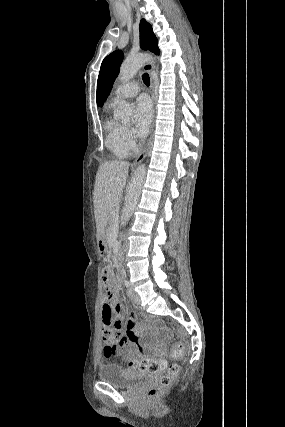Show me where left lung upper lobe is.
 Here are the masks:
<instances>
[{"instance_id":"1","label":"left lung upper lobe","mask_w":285,"mask_h":427,"mask_svg":"<svg viewBox=\"0 0 285 427\" xmlns=\"http://www.w3.org/2000/svg\"><path fill=\"white\" fill-rule=\"evenodd\" d=\"M140 45L142 49L159 54L157 38L151 25L145 19L140 21ZM122 60L123 52L120 50L112 52L103 60L97 81V106L101 107L110 94Z\"/></svg>"}]
</instances>
